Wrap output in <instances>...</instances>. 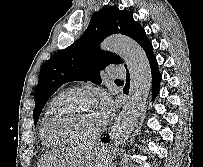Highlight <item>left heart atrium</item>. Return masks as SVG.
Instances as JSON below:
<instances>
[{
    "mask_svg": "<svg viewBox=\"0 0 203 167\" xmlns=\"http://www.w3.org/2000/svg\"><path fill=\"white\" fill-rule=\"evenodd\" d=\"M113 112V103L109 97H102L100 101L98 114L101 117L102 123L105 124L111 117Z\"/></svg>",
    "mask_w": 203,
    "mask_h": 167,
    "instance_id": "obj_1",
    "label": "left heart atrium"
}]
</instances>
